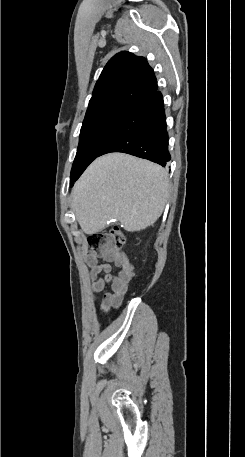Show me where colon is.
I'll return each mask as SVG.
<instances>
[{"label":"colon","mask_w":245,"mask_h":457,"mask_svg":"<svg viewBox=\"0 0 245 457\" xmlns=\"http://www.w3.org/2000/svg\"><path fill=\"white\" fill-rule=\"evenodd\" d=\"M126 243V237L118 226H111L106 230L89 236L90 252L105 257L118 252Z\"/></svg>","instance_id":"obj_1"}]
</instances>
